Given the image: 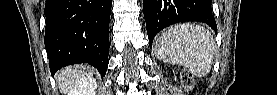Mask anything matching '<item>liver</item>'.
I'll list each match as a JSON object with an SVG mask.
<instances>
[{"label": "liver", "mask_w": 277, "mask_h": 95, "mask_svg": "<svg viewBox=\"0 0 277 95\" xmlns=\"http://www.w3.org/2000/svg\"><path fill=\"white\" fill-rule=\"evenodd\" d=\"M91 70L87 67L76 65L60 70L56 76L60 92L76 95L82 81L91 78Z\"/></svg>", "instance_id": "6515ba94"}]
</instances>
